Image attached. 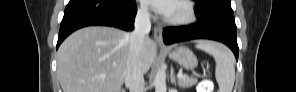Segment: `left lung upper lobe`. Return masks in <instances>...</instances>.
<instances>
[{
	"label": "left lung upper lobe",
	"instance_id": "obj_1",
	"mask_svg": "<svg viewBox=\"0 0 296 92\" xmlns=\"http://www.w3.org/2000/svg\"><path fill=\"white\" fill-rule=\"evenodd\" d=\"M197 3L195 10L200 21L208 23L212 16L221 11L233 12L231 0H194Z\"/></svg>",
	"mask_w": 296,
	"mask_h": 92
}]
</instances>
